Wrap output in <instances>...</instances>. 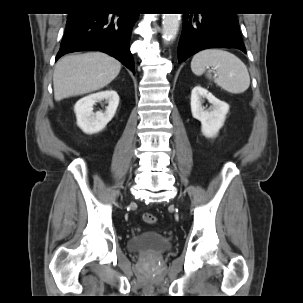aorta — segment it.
<instances>
[{"label": "aorta", "instance_id": "aorta-1", "mask_svg": "<svg viewBox=\"0 0 303 303\" xmlns=\"http://www.w3.org/2000/svg\"><path fill=\"white\" fill-rule=\"evenodd\" d=\"M180 25V14H163L162 31L163 40L169 43L176 38Z\"/></svg>", "mask_w": 303, "mask_h": 303}]
</instances>
